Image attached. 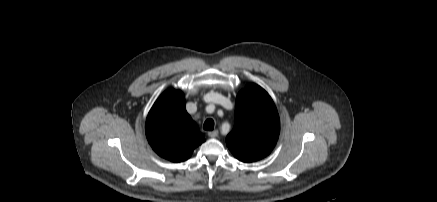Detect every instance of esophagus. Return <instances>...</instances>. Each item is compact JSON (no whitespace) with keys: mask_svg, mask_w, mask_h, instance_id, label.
<instances>
[{"mask_svg":"<svg viewBox=\"0 0 437 202\" xmlns=\"http://www.w3.org/2000/svg\"><path fill=\"white\" fill-rule=\"evenodd\" d=\"M208 136L211 137V138H215V137L218 136V131L217 130L209 131L208 132Z\"/></svg>","mask_w":437,"mask_h":202,"instance_id":"1","label":"esophagus"}]
</instances>
